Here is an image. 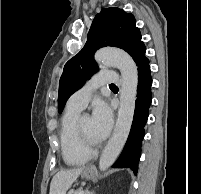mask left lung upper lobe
Segmentation results:
<instances>
[{
    "mask_svg": "<svg viewBox=\"0 0 201 194\" xmlns=\"http://www.w3.org/2000/svg\"><path fill=\"white\" fill-rule=\"evenodd\" d=\"M135 17L123 9L104 8L92 22L83 49L64 66L59 83L58 112L61 113L68 98L97 71L94 53L101 47L114 46L131 56L141 41Z\"/></svg>",
    "mask_w": 201,
    "mask_h": 194,
    "instance_id": "left-lung-upper-lobe-1",
    "label": "left lung upper lobe"
}]
</instances>
